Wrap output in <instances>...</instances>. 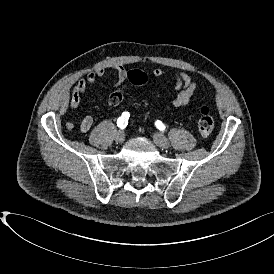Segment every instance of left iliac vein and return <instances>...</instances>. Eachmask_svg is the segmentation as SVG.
I'll use <instances>...</instances> for the list:
<instances>
[{"label": "left iliac vein", "instance_id": "obj_1", "mask_svg": "<svg viewBox=\"0 0 274 274\" xmlns=\"http://www.w3.org/2000/svg\"><path fill=\"white\" fill-rule=\"evenodd\" d=\"M153 140L157 146L163 149H167L170 146V142L167 138H165L162 134L160 133H155L153 135Z\"/></svg>", "mask_w": 274, "mask_h": 274}]
</instances>
